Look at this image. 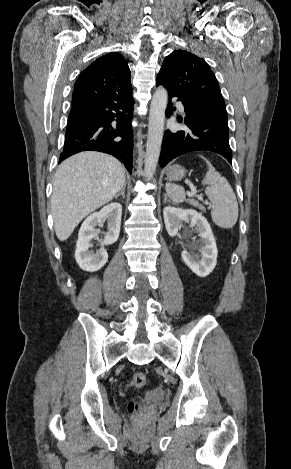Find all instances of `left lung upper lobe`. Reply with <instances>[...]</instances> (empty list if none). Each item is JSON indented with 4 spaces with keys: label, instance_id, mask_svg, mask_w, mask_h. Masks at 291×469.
Listing matches in <instances>:
<instances>
[{
    "label": "left lung upper lobe",
    "instance_id": "5c2ea615",
    "mask_svg": "<svg viewBox=\"0 0 291 469\" xmlns=\"http://www.w3.org/2000/svg\"><path fill=\"white\" fill-rule=\"evenodd\" d=\"M169 92L213 112L227 116L226 105L214 73L198 56L184 50L168 55L157 76Z\"/></svg>",
    "mask_w": 291,
    "mask_h": 469
}]
</instances>
